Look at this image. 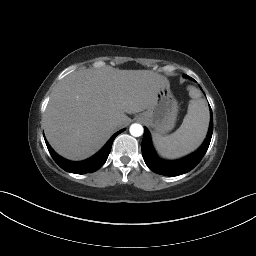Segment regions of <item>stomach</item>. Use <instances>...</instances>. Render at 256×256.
Masks as SVG:
<instances>
[{"label":"stomach","instance_id":"0dacf381","mask_svg":"<svg viewBox=\"0 0 256 256\" xmlns=\"http://www.w3.org/2000/svg\"><path fill=\"white\" fill-rule=\"evenodd\" d=\"M178 102L174 98L168 81L157 90L151 105L139 115V119L151 126L158 134L164 135L175 126Z\"/></svg>","mask_w":256,"mask_h":256}]
</instances>
